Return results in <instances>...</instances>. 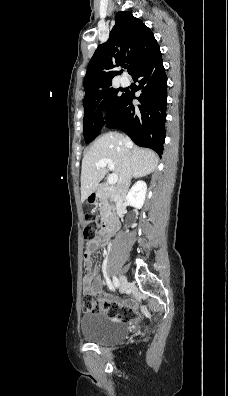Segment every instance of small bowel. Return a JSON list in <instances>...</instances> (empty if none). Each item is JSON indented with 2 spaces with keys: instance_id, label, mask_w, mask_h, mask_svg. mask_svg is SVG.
Returning a JSON list of instances; mask_svg holds the SVG:
<instances>
[{
  "instance_id": "c3829d8e",
  "label": "small bowel",
  "mask_w": 228,
  "mask_h": 396,
  "mask_svg": "<svg viewBox=\"0 0 228 396\" xmlns=\"http://www.w3.org/2000/svg\"><path fill=\"white\" fill-rule=\"evenodd\" d=\"M110 239V235L104 232V230H98L95 236L88 243L85 250L84 268L85 275L82 279L83 293L90 294L98 297L101 300L109 299V296L103 290V280L100 275H97L96 268L93 265L92 253L93 251L105 247ZM126 304L131 307H136L137 303L134 300H129Z\"/></svg>"
}]
</instances>
